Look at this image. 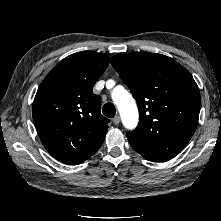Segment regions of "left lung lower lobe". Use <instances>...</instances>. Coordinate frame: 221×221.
Returning a JSON list of instances; mask_svg holds the SVG:
<instances>
[{
    "mask_svg": "<svg viewBox=\"0 0 221 221\" xmlns=\"http://www.w3.org/2000/svg\"><path fill=\"white\" fill-rule=\"evenodd\" d=\"M150 161H153V162H158L157 160H150Z\"/></svg>",
    "mask_w": 221,
    "mask_h": 221,
    "instance_id": "1",
    "label": "left lung lower lobe"
}]
</instances>
